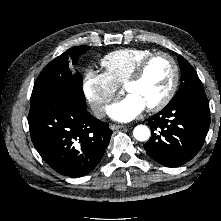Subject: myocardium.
Instances as JSON below:
<instances>
[{"label": "myocardium", "mask_w": 221, "mask_h": 221, "mask_svg": "<svg viewBox=\"0 0 221 221\" xmlns=\"http://www.w3.org/2000/svg\"><path fill=\"white\" fill-rule=\"evenodd\" d=\"M158 56H163L170 61L171 65H172V69H173V78H172L171 85H170L167 93L164 95V97L160 101H158L157 103L147 107V110L152 111V112L159 111V110L163 109L165 106H167L169 104V102L173 99V97L177 91V88L179 85V79H180V70H179V66H178L176 59L171 54H169L165 51L152 52L151 54L144 57L137 64L134 71L132 72L130 77L125 82V87L130 84L138 82L143 77L145 70H146L147 66L149 65V63L154 58H156Z\"/></svg>", "instance_id": "1"}]
</instances>
